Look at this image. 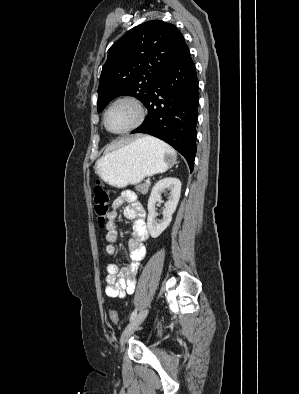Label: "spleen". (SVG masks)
<instances>
[{"label": "spleen", "mask_w": 299, "mask_h": 394, "mask_svg": "<svg viewBox=\"0 0 299 394\" xmlns=\"http://www.w3.org/2000/svg\"><path fill=\"white\" fill-rule=\"evenodd\" d=\"M153 139L156 143H161L167 150L171 151L172 153H175L174 150L172 148H170L168 145H166L165 143H163L155 138H153Z\"/></svg>", "instance_id": "obj_1"}]
</instances>
